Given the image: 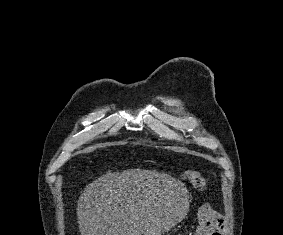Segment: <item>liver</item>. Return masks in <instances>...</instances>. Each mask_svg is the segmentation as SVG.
I'll return each mask as SVG.
<instances>
[{"label": "liver", "mask_w": 283, "mask_h": 235, "mask_svg": "<svg viewBox=\"0 0 283 235\" xmlns=\"http://www.w3.org/2000/svg\"><path fill=\"white\" fill-rule=\"evenodd\" d=\"M187 190L165 173L111 172L86 186L77 205L81 235H161L181 220Z\"/></svg>", "instance_id": "6515ba94"}]
</instances>
